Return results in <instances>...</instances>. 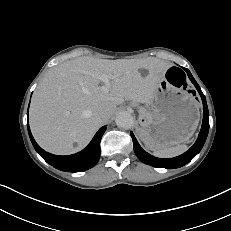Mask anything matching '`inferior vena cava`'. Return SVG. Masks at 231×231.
<instances>
[{"label":"inferior vena cava","instance_id":"inferior-vena-cava-1","mask_svg":"<svg viewBox=\"0 0 231 231\" xmlns=\"http://www.w3.org/2000/svg\"><path fill=\"white\" fill-rule=\"evenodd\" d=\"M98 116H99L102 120H106V119L109 118V113H108V111H106V110H100V111L98 112Z\"/></svg>","mask_w":231,"mask_h":231}]
</instances>
